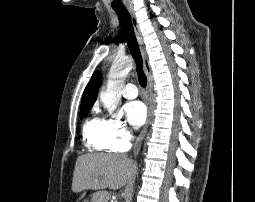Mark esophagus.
<instances>
[{
    "mask_svg": "<svg viewBox=\"0 0 255 202\" xmlns=\"http://www.w3.org/2000/svg\"><path fill=\"white\" fill-rule=\"evenodd\" d=\"M129 14L131 16V22H132V26L134 28V32L137 38V41L140 45V49H141V54H142V58H143V65H144V69L147 75V79H148V83H147V100H146V104H147V120L146 123L144 125V127L142 128L139 136L137 137L136 140V144L134 147V156H137L142 144V141L147 133L148 130V126L150 123V119H151V97H152V70H151V66L150 63L148 61V58L146 56V53L143 50V40H142V36H141V32H140V28H139V24L137 22V19L134 15V12L131 9H128Z\"/></svg>",
    "mask_w": 255,
    "mask_h": 202,
    "instance_id": "1",
    "label": "esophagus"
}]
</instances>
